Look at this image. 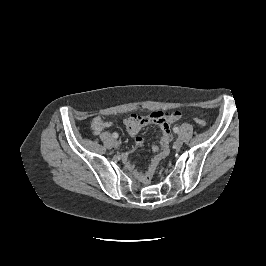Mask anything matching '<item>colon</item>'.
<instances>
[{
	"label": "colon",
	"instance_id": "1",
	"mask_svg": "<svg viewBox=\"0 0 266 266\" xmlns=\"http://www.w3.org/2000/svg\"><path fill=\"white\" fill-rule=\"evenodd\" d=\"M194 121L199 126H205L206 125V121L204 119H202V118L195 117Z\"/></svg>",
	"mask_w": 266,
	"mask_h": 266
}]
</instances>
